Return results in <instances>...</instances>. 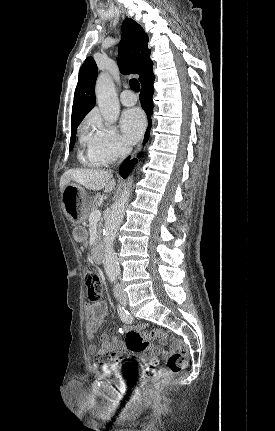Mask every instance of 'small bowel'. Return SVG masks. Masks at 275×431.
Returning a JSON list of instances; mask_svg holds the SVG:
<instances>
[{
    "label": "small bowel",
    "mask_w": 275,
    "mask_h": 431,
    "mask_svg": "<svg viewBox=\"0 0 275 431\" xmlns=\"http://www.w3.org/2000/svg\"><path fill=\"white\" fill-rule=\"evenodd\" d=\"M74 238L79 243H85L87 240L86 232L83 229L77 228L73 232ZM86 314V335L88 338V350L91 354L96 355L97 365L106 367L110 362H118L122 359V353L124 351V344L117 335L108 336L107 334H101L98 339L95 337L97 328L103 323L107 314V305L104 301H94L88 303L85 306ZM146 325L140 324L137 329L143 330ZM161 349L153 351L154 355L151 358L153 361H157L156 354ZM105 357V360L102 358Z\"/></svg>",
    "instance_id": "small-bowel-1"
}]
</instances>
